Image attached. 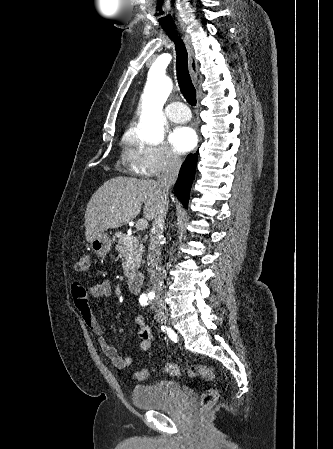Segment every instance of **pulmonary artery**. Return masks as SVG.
Listing matches in <instances>:
<instances>
[{
  "label": "pulmonary artery",
  "instance_id": "e3ab8cb5",
  "mask_svg": "<svg viewBox=\"0 0 333 449\" xmlns=\"http://www.w3.org/2000/svg\"><path fill=\"white\" fill-rule=\"evenodd\" d=\"M166 116L174 122H184L190 119V111L182 102H172L165 107Z\"/></svg>",
  "mask_w": 333,
  "mask_h": 449
}]
</instances>
